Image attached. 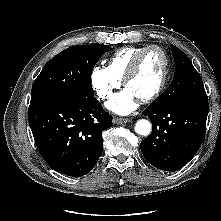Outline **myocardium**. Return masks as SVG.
<instances>
[{
  "label": "myocardium",
  "instance_id": "myocardium-1",
  "mask_svg": "<svg viewBox=\"0 0 221 221\" xmlns=\"http://www.w3.org/2000/svg\"><path fill=\"white\" fill-rule=\"evenodd\" d=\"M152 50H157L161 53V55L163 57V61H164L163 71H162L160 81H159L157 87L154 89V91H152L147 96L139 99V101L142 103H148V102L154 100L156 97H158L161 94V92L163 91V89L166 85V82H167L168 76H169V58H168L166 52L161 47H159L157 45H150V46L145 47L144 49H142L139 53H137L135 55L128 70L126 71V73L122 79L123 85L126 87L127 83L130 81V79L138 72L143 57L146 55V53H148L149 51H152Z\"/></svg>",
  "mask_w": 221,
  "mask_h": 221
}]
</instances>
